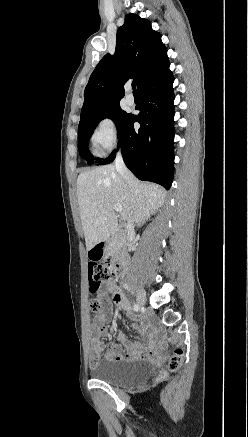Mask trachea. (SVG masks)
Masks as SVG:
<instances>
[{
	"mask_svg": "<svg viewBox=\"0 0 248 437\" xmlns=\"http://www.w3.org/2000/svg\"><path fill=\"white\" fill-rule=\"evenodd\" d=\"M132 89H133V92H137L135 81L132 82Z\"/></svg>",
	"mask_w": 248,
	"mask_h": 437,
	"instance_id": "obj_1",
	"label": "trachea"
}]
</instances>
